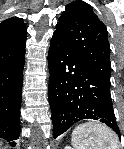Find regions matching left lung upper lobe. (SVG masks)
I'll use <instances>...</instances> for the list:
<instances>
[{"label": "left lung upper lobe", "instance_id": "obj_1", "mask_svg": "<svg viewBox=\"0 0 124 149\" xmlns=\"http://www.w3.org/2000/svg\"><path fill=\"white\" fill-rule=\"evenodd\" d=\"M56 34L102 78L110 82V46L105 25L90 5L75 1L66 6Z\"/></svg>", "mask_w": 124, "mask_h": 149}]
</instances>
